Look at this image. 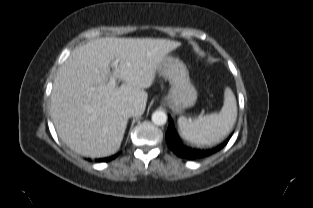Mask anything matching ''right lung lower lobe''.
<instances>
[{
	"mask_svg": "<svg viewBox=\"0 0 313 208\" xmlns=\"http://www.w3.org/2000/svg\"><path fill=\"white\" fill-rule=\"evenodd\" d=\"M116 156H113V157H111V158H107V159H101V160H99V161H106V160H111V159H113V158H115Z\"/></svg>",
	"mask_w": 313,
	"mask_h": 208,
	"instance_id": "1",
	"label": "right lung lower lobe"
}]
</instances>
